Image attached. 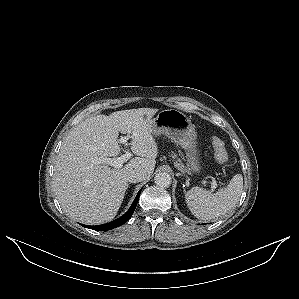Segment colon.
I'll return each mask as SVG.
<instances>
[{
    "instance_id": "5ec220e1",
    "label": "colon",
    "mask_w": 299,
    "mask_h": 299,
    "mask_svg": "<svg viewBox=\"0 0 299 299\" xmlns=\"http://www.w3.org/2000/svg\"><path fill=\"white\" fill-rule=\"evenodd\" d=\"M211 145L214 150V156L219 164H225L228 161V153L225 148L223 140L218 137L211 139Z\"/></svg>"
}]
</instances>
